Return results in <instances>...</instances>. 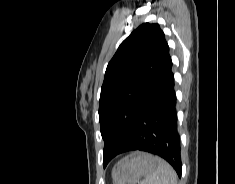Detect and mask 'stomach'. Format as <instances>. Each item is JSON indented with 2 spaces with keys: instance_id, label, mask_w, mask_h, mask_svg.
Segmentation results:
<instances>
[{
  "instance_id": "0dacf381",
  "label": "stomach",
  "mask_w": 235,
  "mask_h": 184,
  "mask_svg": "<svg viewBox=\"0 0 235 184\" xmlns=\"http://www.w3.org/2000/svg\"><path fill=\"white\" fill-rule=\"evenodd\" d=\"M157 168L156 156L133 152L115 164L112 170L114 184H137L142 176H149Z\"/></svg>"
}]
</instances>
